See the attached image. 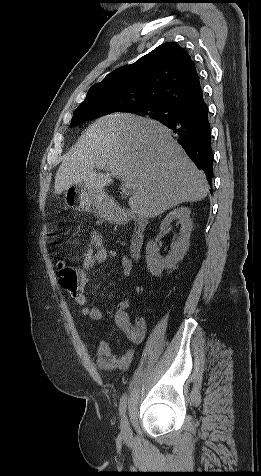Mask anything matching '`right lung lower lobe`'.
<instances>
[{"mask_svg": "<svg viewBox=\"0 0 261 476\" xmlns=\"http://www.w3.org/2000/svg\"><path fill=\"white\" fill-rule=\"evenodd\" d=\"M208 106L202 96L193 104L183 107L172 117L160 121L177 135L179 144L209 181L213 175V152Z\"/></svg>", "mask_w": 261, "mask_h": 476, "instance_id": "right-lung-lower-lobe-1", "label": "right lung lower lobe"}]
</instances>
